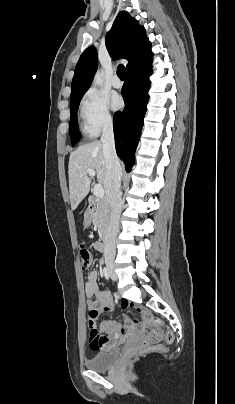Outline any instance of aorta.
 Wrapping results in <instances>:
<instances>
[{"label":"aorta","instance_id":"1","mask_svg":"<svg viewBox=\"0 0 235 404\" xmlns=\"http://www.w3.org/2000/svg\"><path fill=\"white\" fill-rule=\"evenodd\" d=\"M93 83H94V85H97V86L102 85L103 79H102V73L101 72L98 71L96 73V75L94 77V80H93Z\"/></svg>","mask_w":235,"mask_h":404}]
</instances>
